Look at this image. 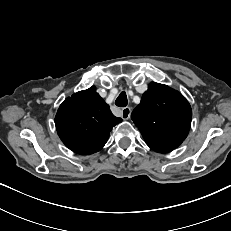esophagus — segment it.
<instances>
[{
  "mask_svg": "<svg viewBox=\"0 0 231 231\" xmlns=\"http://www.w3.org/2000/svg\"><path fill=\"white\" fill-rule=\"evenodd\" d=\"M130 115H131V108L130 107H125L122 109V112H121V117L124 119V120H127L130 118Z\"/></svg>",
  "mask_w": 231,
  "mask_h": 231,
  "instance_id": "34e87169",
  "label": "esophagus"
}]
</instances>
